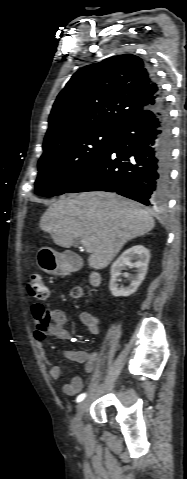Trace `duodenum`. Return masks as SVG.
I'll return each mask as SVG.
<instances>
[{"mask_svg":"<svg viewBox=\"0 0 187 479\" xmlns=\"http://www.w3.org/2000/svg\"><path fill=\"white\" fill-rule=\"evenodd\" d=\"M67 260H68V262H69V264H70V266H71L72 268H76V267L78 266V263H77V261H76L75 259H73V258L67 256ZM100 281H101V278H100V276H99L97 273H95V274L92 275V277H91V283H92L93 285H95V286L99 285Z\"/></svg>","mask_w":187,"mask_h":479,"instance_id":"obj_1","label":"duodenum"}]
</instances>
